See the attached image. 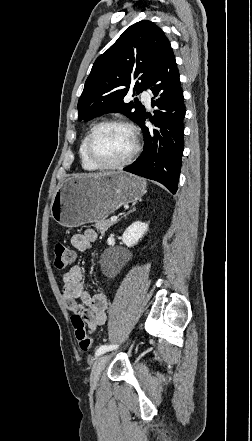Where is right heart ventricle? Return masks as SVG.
I'll use <instances>...</instances> for the list:
<instances>
[{
  "label": "right heart ventricle",
  "mask_w": 252,
  "mask_h": 441,
  "mask_svg": "<svg viewBox=\"0 0 252 441\" xmlns=\"http://www.w3.org/2000/svg\"><path fill=\"white\" fill-rule=\"evenodd\" d=\"M90 130L85 134V136L83 137V139L81 140V143L79 145V150H78V154H79V159H80V164L81 167L86 170V171H95L98 168L95 167L86 157V153H85V145H86V140L87 137L89 135Z\"/></svg>",
  "instance_id": "e07e8e85"
}]
</instances>
